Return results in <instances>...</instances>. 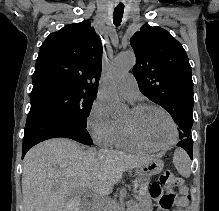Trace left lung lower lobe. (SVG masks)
I'll list each match as a JSON object with an SVG mask.
<instances>
[{"mask_svg": "<svg viewBox=\"0 0 219 211\" xmlns=\"http://www.w3.org/2000/svg\"><path fill=\"white\" fill-rule=\"evenodd\" d=\"M177 146L182 147L183 149H185L187 151V153L189 154L190 158L192 159V149H193V141L191 138H185L182 139Z\"/></svg>", "mask_w": 219, "mask_h": 211, "instance_id": "1", "label": "left lung lower lobe"}]
</instances>
